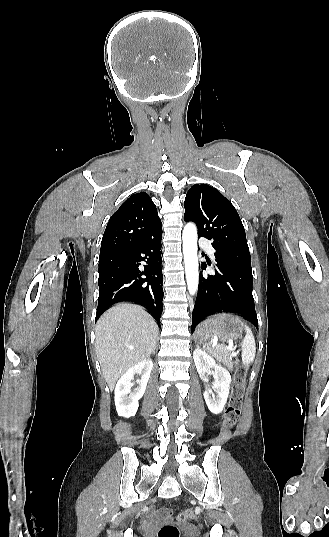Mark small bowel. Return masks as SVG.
<instances>
[{"instance_id": "c3829d8e", "label": "small bowel", "mask_w": 329, "mask_h": 537, "mask_svg": "<svg viewBox=\"0 0 329 537\" xmlns=\"http://www.w3.org/2000/svg\"><path fill=\"white\" fill-rule=\"evenodd\" d=\"M158 515L162 518H167L169 516V511L166 509L161 510Z\"/></svg>"}]
</instances>
